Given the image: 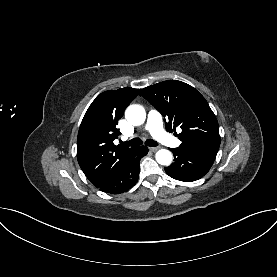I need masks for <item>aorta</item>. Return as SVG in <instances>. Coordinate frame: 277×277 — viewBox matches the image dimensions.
Segmentation results:
<instances>
[{
  "mask_svg": "<svg viewBox=\"0 0 277 277\" xmlns=\"http://www.w3.org/2000/svg\"><path fill=\"white\" fill-rule=\"evenodd\" d=\"M126 119L133 125H141L146 119V112L140 105H131L125 111ZM156 161L161 164L168 166L172 162V153L169 150L161 149L156 153Z\"/></svg>",
  "mask_w": 277,
  "mask_h": 277,
  "instance_id": "1",
  "label": "aorta"
}]
</instances>
